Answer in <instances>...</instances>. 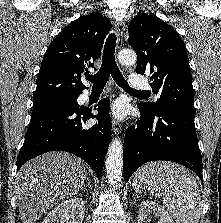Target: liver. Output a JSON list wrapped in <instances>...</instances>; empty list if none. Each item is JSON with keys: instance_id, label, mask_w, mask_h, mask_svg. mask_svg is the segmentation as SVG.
<instances>
[{"instance_id": "liver-1", "label": "liver", "mask_w": 221, "mask_h": 223, "mask_svg": "<svg viewBox=\"0 0 221 223\" xmlns=\"http://www.w3.org/2000/svg\"><path fill=\"white\" fill-rule=\"evenodd\" d=\"M86 179L84 162L66 152H48L25 163L15 179L22 222L35 223L47 210L76 195Z\"/></svg>"}]
</instances>
